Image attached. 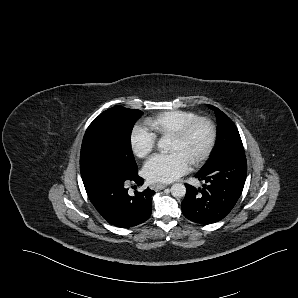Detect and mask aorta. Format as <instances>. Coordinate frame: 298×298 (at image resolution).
<instances>
[{
	"mask_svg": "<svg viewBox=\"0 0 298 298\" xmlns=\"http://www.w3.org/2000/svg\"><path fill=\"white\" fill-rule=\"evenodd\" d=\"M172 140L168 137H161L158 142L157 146L163 153H168L173 150L172 147ZM171 194L173 197H184L186 195V187L182 183H174L170 188Z\"/></svg>",
	"mask_w": 298,
	"mask_h": 298,
	"instance_id": "obj_1",
	"label": "aorta"
}]
</instances>
